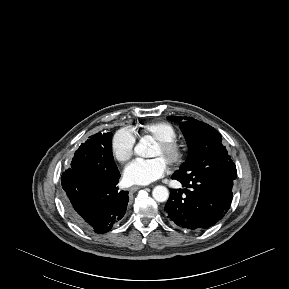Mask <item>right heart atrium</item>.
I'll use <instances>...</instances> for the list:
<instances>
[{
  "mask_svg": "<svg viewBox=\"0 0 289 289\" xmlns=\"http://www.w3.org/2000/svg\"><path fill=\"white\" fill-rule=\"evenodd\" d=\"M135 144L134 133L127 128H121L113 134L110 147L115 159L125 163L133 156Z\"/></svg>",
  "mask_w": 289,
  "mask_h": 289,
  "instance_id": "right-heart-atrium-1",
  "label": "right heart atrium"
}]
</instances>
